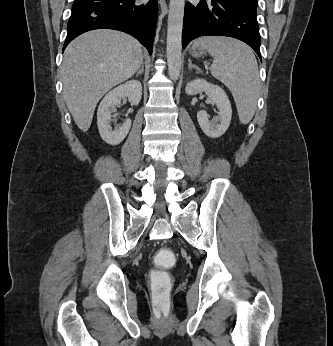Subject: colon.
Returning a JSON list of instances; mask_svg holds the SVG:
<instances>
[{
  "label": "colon",
  "mask_w": 333,
  "mask_h": 346,
  "mask_svg": "<svg viewBox=\"0 0 333 346\" xmlns=\"http://www.w3.org/2000/svg\"><path fill=\"white\" fill-rule=\"evenodd\" d=\"M174 255V249H161L156 257H153L151 298L157 315H163L168 311L169 293L175 283L165 271L174 270Z\"/></svg>",
  "instance_id": "5ec220e1"
}]
</instances>
